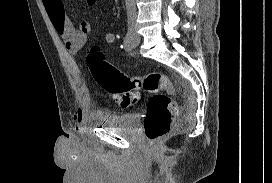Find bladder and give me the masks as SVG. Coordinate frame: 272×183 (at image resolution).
Returning <instances> with one entry per match:
<instances>
[{
	"mask_svg": "<svg viewBox=\"0 0 272 183\" xmlns=\"http://www.w3.org/2000/svg\"><path fill=\"white\" fill-rule=\"evenodd\" d=\"M99 121L107 128L132 131L138 124L139 115L137 113L110 114L105 115Z\"/></svg>",
	"mask_w": 272,
	"mask_h": 183,
	"instance_id": "obj_1",
	"label": "bladder"
}]
</instances>
